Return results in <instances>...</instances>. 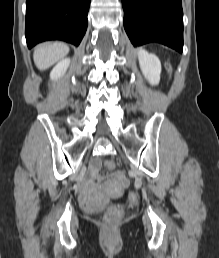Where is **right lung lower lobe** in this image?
I'll return each instance as SVG.
<instances>
[{"instance_id": "right-lung-lower-lobe-1", "label": "right lung lower lobe", "mask_w": 219, "mask_h": 258, "mask_svg": "<svg viewBox=\"0 0 219 258\" xmlns=\"http://www.w3.org/2000/svg\"><path fill=\"white\" fill-rule=\"evenodd\" d=\"M89 5L90 0H26L28 47L46 40L78 46L87 29Z\"/></svg>"}]
</instances>
